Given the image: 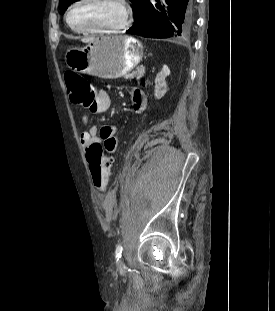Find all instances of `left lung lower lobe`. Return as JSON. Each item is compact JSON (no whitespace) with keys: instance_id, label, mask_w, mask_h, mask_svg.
I'll return each instance as SVG.
<instances>
[{"instance_id":"obj_1","label":"left lung lower lobe","mask_w":275,"mask_h":311,"mask_svg":"<svg viewBox=\"0 0 275 311\" xmlns=\"http://www.w3.org/2000/svg\"><path fill=\"white\" fill-rule=\"evenodd\" d=\"M193 0H145L130 34L148 38L185 37L193 26Z\"/></svg>"}]
</instances>
